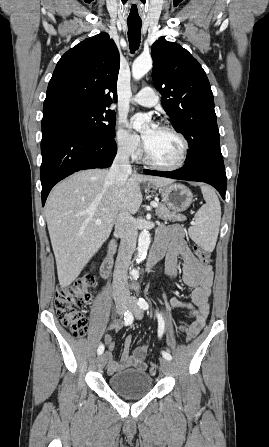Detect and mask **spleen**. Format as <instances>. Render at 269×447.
I'll return each mask as SVG.
<instances>
[{"label":"spleen","instance_id":"3e777b00","mask_svg":"<svg viewBox=\"0 0 269 447\" xmlns=\"http://www.w3.org/2000/svg\"><path fill=\"white\" fill-rule=\"evenodd\" d=\"M203 198L206 202L194 216L195 225L189 227V235L205 251H213L221 222V206L214 188L201 184Z\"/></svg>","mask_w":269,"mask_h":447}]
</instances>
